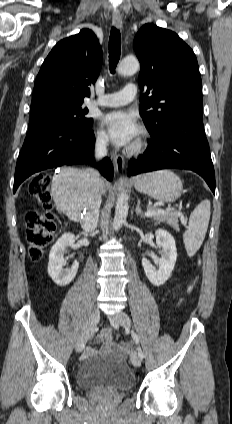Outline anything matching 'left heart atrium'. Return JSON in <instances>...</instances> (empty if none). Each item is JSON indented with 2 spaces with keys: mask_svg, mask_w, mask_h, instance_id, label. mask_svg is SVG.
<instances>
[{
  "mask_svg": "<svg viewBox=\"0 0 232 424\" xmlns=\"http://www.w3.org/2000/svg\"><path fill=\"white\" fill-rule=\"evenodd\" d=\"M111 140L117 145L130 144L139 134L138 124L130 113L117 111L104 116Z\"/></svg>",
  "mask_w": 232,
  "mask_h": 424,
  "instance_id": "left-heart-atrium-1",
  "label": "left heart atrium"
}]
</instances>
